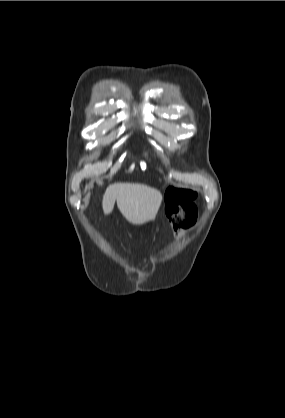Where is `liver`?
Returning <instances> with one entry per match:
<instances>
[{
  "label": "liver",
  "mask_w": 285,
  "mask_h": 418,
  "mask_svg": "<svg viewBox=\"0 0 285 418\" xmlns=\"http://www.w3.org/2000/svg\"><path fill=\"white\" fill-rule=\"evenodd\" d=\"M115 201L128 222L142 225L155 219L162 194L143 184L115 183L109 185L103 195L102 208L105 215L113 211Z\"/></svg>",
  "instance_id": "1"
}]
</instances>
